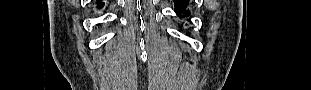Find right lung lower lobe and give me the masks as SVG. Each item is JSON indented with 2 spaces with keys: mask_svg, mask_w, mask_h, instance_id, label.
Masks as SVG:
<instances>
[{
  "mask_svg": "<svg viewBox=\"0 0 311 90\" xmlns=\"http://www.w3.org/2000/svg\"><path fill=\"white\" fill-rule=\"evenodd\" d=\"M101 1H98V5H100Z\"/></svg>",
  "mask_w": 311,
  "mask_h": 90,
  "instance_id": "right-lung-lower-lobe-1",
  "label": "right lung lower lobe"
}]
</instances>
